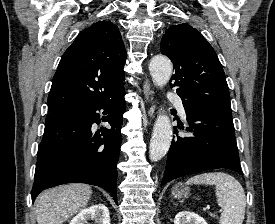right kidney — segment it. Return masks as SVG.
I'll return each mask as SVG.
<instances>
[{"label": "right kidney", "mask_w": 275, "mask_h": 224, "mask_svg": "<svg viewBox=\"0 0 275 224\" xmlns=\"http://www.w3.org/2000/svg\"><path fill=\"white\" fill-rule=\"evenodd\" d=\"M92 220L94 224H110V213L103 204L93 205L80 211L69 224H89Z\"/></svg>", "instance_id": "obj_1"}]
</instances>
